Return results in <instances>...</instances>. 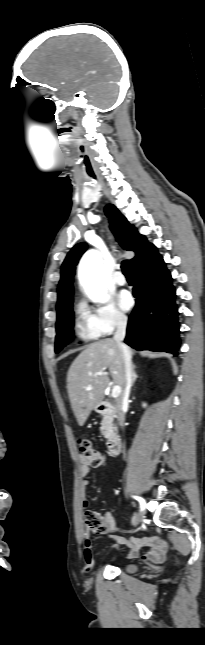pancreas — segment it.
<instances>
[{
	"mask_svg": "<svg viewBox=\"0 0 205 645\" xmlns=\"http://www.w3.org/2000/svg\"><path fill=\"white\" fill-rule=\"evenodd\" d=\"M100 431L106 439L110 438L111 436V417L110 416L105 415L103 417Z\"/></svg>",
	"mask_w": 205,
	"mask_h": 645,
	"instance_id": "pancreas-1",
	"label": "pancreas"
}]
</instances>
